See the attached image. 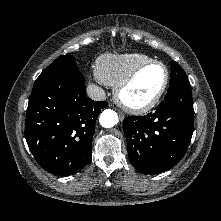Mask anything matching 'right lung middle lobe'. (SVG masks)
<instances>
[{
    "mask_svg": "<svg viewBox=\"0 0 221 221\" xmlns=\"http://www.w3.org/2000/svg\"><path fill=\"white\" fill-rule=\"evenodd\" d=\"M75 60V57L72 55L58 57L36 79L31 95L40 92L60 79H73L84 82L83 75L79 72Z\"/></svg>",
    "mask_w": 221,
    "mask_h": 221,
    "instance_id": "obj_1",
    "label": "right lung middle lobe"
}]
</instances>
